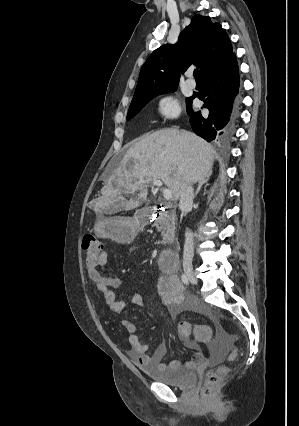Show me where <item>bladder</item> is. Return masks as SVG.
Returning <instances> with one entry per match:
<instances>
[{
	"mask_svg": "<svg viewBox=\"0 0 299 426\" xmlns=\"http://www.w3.org/2000/svg\"><path fill=\"white\" fill-rule=\"evenodd\" d=\"M141 371L151 379L177 388H189L197 381L194 370L183 368L160 369L150 364H140Z\"/></svg>",
	"mask_w": 299,
	"mask_h": 426,
	"instance_id": "obj_1",
	"label": "bladder"
}]
</instances>
